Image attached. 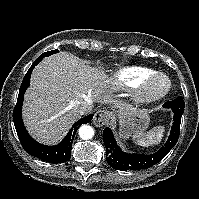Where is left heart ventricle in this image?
Returning a JSON list of instances; mask_svg holds the SVG:
<instances>
[{
    "mask_svg": "<svg viewBox=\"0 0 199 199\" xmlns=\"http://www.w3.org/2000/svg\"><path fill=\"white\" fill-rule=\"evenodd\" d=\"M156 85H157L158 88H162V87H164L165 84H164V82L160 81Z\"/></svg>",
    "mask_w": 199,
    "mask_h": 199,
    "instance_id": "left-heart-ventricle-1",
    "label": "left heart ventricle"
}]
</instances>
